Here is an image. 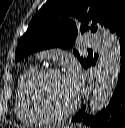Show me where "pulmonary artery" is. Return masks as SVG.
Here are the masks:
<instances>
[{
  "instance_id": "1",
  "label": "pulmonary artery",
  "mask_w": 125,
  "mask_h": 128,
  "mask_svg": "<svg viewBox=\"0 0 125 128\" xmlns=\"http://www.w3.org/2000/svg\"><path fill=\"white\" fill-rule=\"evenodd\" d=\"M85 40V45L87 47H92V48H99L101 45V40L92 34H88L84 37Z\"/></svg>"
}]
</instances>
